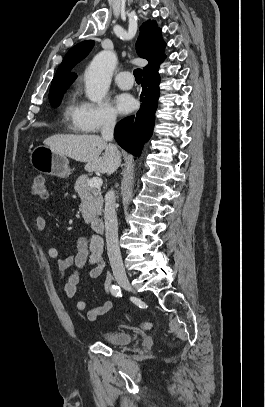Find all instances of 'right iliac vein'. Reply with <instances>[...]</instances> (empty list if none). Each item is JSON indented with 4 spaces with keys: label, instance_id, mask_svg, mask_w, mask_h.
<instances>
[{
    "label": "right iliac vein",
    "instance_id": "obj_1",
    "mask_svg": "<svg viewBox=\"0 0 265 407\" xmlns=\"http://www.w3.org/2000/svg\"><path fill=\"white\" fill-rule=\"evenodd\" d=\"M118 284L126 290L132 291V287L127 277L117 278Z\"/></svg>",
    "mask_w": 265,
    "mask_h": 407
}]
</instances>
